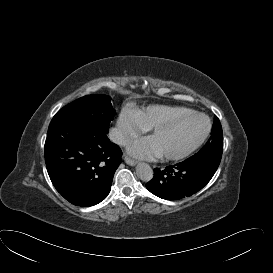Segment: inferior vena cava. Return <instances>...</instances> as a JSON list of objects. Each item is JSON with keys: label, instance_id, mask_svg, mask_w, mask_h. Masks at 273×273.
<instances>
[{"label": "inferior vena cava", "instance_id": "1", "mask_svg": "<svg viewBox=\"0 0 273 273\" xmlns=\"http://www.w3.org/2000/svg\"><path fill=\"white\" fill-rule=\"evenodd\" d=\"M109 139L117 144L124 145L127 142V139L125 135L122 133V131L119 128L112 127L109 131Z\"/></svg>", "mask_w": 273, "mask_h": 273}]
</instances>
